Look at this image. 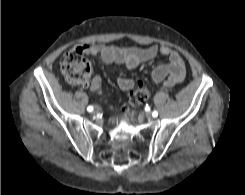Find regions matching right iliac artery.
<instances>
[{
	"mask_svg": "<svg viewBox=\"0 0 245 195\" xmlns=\"http://www.w3.org/2000/svg\"><path fill=\"white\" fill-rule=\"evenodd\" d=\"M93 109H94L93 106H88V107H87V111H88V112H92Z\"/></svg>",
	"mask_w": 245,
	"mask_h": 195,
	"instance_id": "82829eb1",
	"label": "right iliac artery"
}]
</instances>
